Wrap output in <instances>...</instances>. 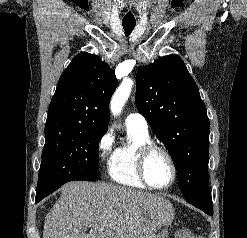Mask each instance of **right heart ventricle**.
Instances as JSON below:
<instances>
[{
	"instance_id": "1",
	"label": "right heart ventricle",
	"mask_w": 247,
	"mask_h": 238,
	"mask_svg": "<svg viewBox=\"0 0 247 238\" xmlns=\"http://www.w3.org/2000/svg\"><path fill=\"white\" fill-rule=\"evenodd\" d=\"M128 141L117 146L111 153L107 171L110 178L117 184L146 188L137 171V159L140 148L150 142L148 131L127 127Z\"/></svg>"
}]
</instances>
